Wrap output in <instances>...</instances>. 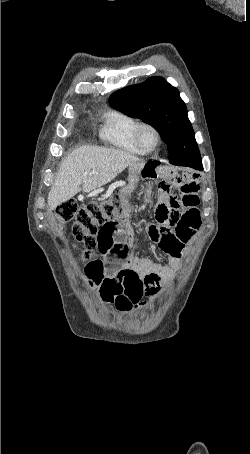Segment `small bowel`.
Listing matches in <instances>:
<instances>
[{
    "mask_svg": "<svg viewBox=\"0 0 250 454\" xmlns=\"http://www.w3.org/2000/svg\"><path fill=\"white\" fill-rule=\"evenodd\" d=\"M200 175L186 177L143 178L132 173L123 189L135 192L145 202L157 196L155 223L147 228L149 238L169 257L162 265L128 252L133 230L128 217L105 225L98 233V251L102 258L90 261L84 269L90 287L101 301L119 311L147 305L178 269L186 246L201 224ZM178 190L179 194H173Z\"/></svg>",
    "mask_w": 250,
    "mask_h": 454,
    "instance_id": "c3829d8e",
    "label": "small bowel"
}]
</instances>
